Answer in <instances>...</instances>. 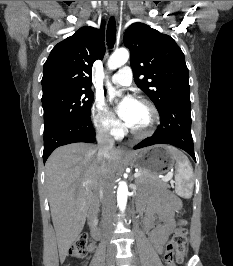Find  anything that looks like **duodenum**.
<instances>
[{
  "label": "duodenum",
  "mask_w": 233,
  "mask_h": 266,
  "mask_svg": "<svg viewBox=\"0 0 233 266\" xmlns=\"http://www.w3.org/2000/svg\"><path fill=\"white\" fill-rule=\"evenodd\" d=\"M98 201L94 199L90 206V214H89V224H90V233L93 238L100 239L101 232L98 226Z\"/></svg>",
  "instance_id": "1"
}]
</instances>
